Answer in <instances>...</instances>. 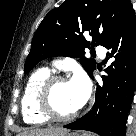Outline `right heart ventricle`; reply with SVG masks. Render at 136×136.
<instances>
[{"instance_id":"right-heart-ventricle-1","label":"right heart ventricle","mask_w":136,"mask_h":136,"mask_svg":"<svg viewBox=\"0 0 136 136\" xmlns=\"http://www.w3.org/2000/svg\"><path fill=\"white\" fill-rule=\"evenodd\" d=\"M49 74L46 68L38 69L30 75L25 84L21 98V109L23 120L27 124H43L47 121L37 108V95Z\"/></svg>"}]
</instances>
